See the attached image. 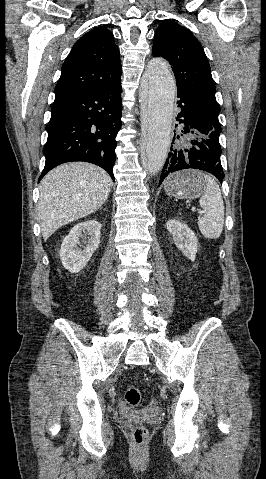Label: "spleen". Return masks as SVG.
Listing matches in <instances>:
<instances>
[{
  "mask_svg": "<svg viewBox=\"0 0 266 479\" xmlns=\"http://www.w3.org/2000/svg\"><path fill=\"white\" fill-rule=\"evenodd\" d=\"M207 185L199 203L204 215L198 219L201 234L207 239H218L224 226V204L216 181L204 175Z\"/></svg>",
  "mask_w": 266,
  "mask_h": 479,
  "instance_id": "3e777b00",
  "label": "spleen"
}]
</instances>
